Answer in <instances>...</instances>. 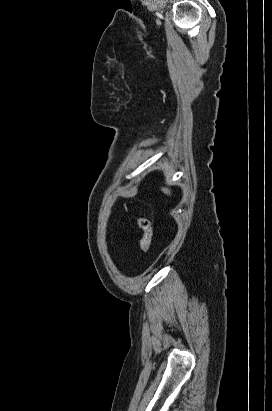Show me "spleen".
I'll return each mask as SVG.
<instances>
[{
  "label": "spleen",
  "mask_w": 272,
  "mask_h": 411,
  "mask_svg": "<svg viewBox=\"0 0 272 411\" xmlns=\"http://www.w3.org/2000/svg\"><path fill=\"white\" fill-rule=\"evenodd\" d=\"M162 190H163V192H164L165 194H169V193H170V191H169L168 189L163 188Z\"/></svg>",
  "instance_id": "spleen-1"
}]
</instances>
